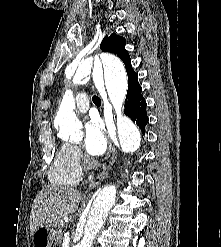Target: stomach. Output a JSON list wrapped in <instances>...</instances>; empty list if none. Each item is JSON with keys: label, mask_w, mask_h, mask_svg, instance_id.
<instances>
[{"label": "stomach", "mask_w": 221, "mask_h": 247, "mask_svg": "<svg viewBox=\"0 0 221 247\" xmlns=\"http://www.w3.org/2000/svg\"><path fill=\"white\" fill-rule=\"evenodd\" d=\"M53 240L52 226H42L32 234L33 247H51Z\"/></svg>", "instance_id": "stomach-1"}]
</instances>
